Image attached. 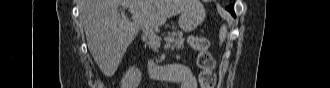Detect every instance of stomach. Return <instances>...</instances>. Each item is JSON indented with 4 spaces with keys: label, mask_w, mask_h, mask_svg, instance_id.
<instances>
[{
    "label": "stomach",
    "mask_w": 330,
    "mask_h": 88,
    "mask_svg": "<svg viewBox=\"0 0 330 88\" xmlns=\"http://www.w3.org/2000/svg\"><path fill=\"white\" fill-rule=\"evenodd\" d=\"M206 13L199 0H192L190 7L179 16L181 30L190 32L195 30L205 19Z\"/></svg>",
    "instance_id": "1"
}]
</instances>
